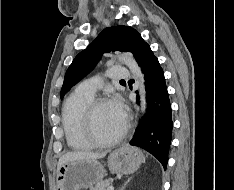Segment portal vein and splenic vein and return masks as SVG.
I'll list each match as a JSON object with an SVG mask.
<instances>
[{"label":"portal vein and splenic vein","mask_w":234,"mask_h":190,"mask_svg":"<svg viewBox=\"0 0 234 190\" xmlns=\"http://www.w3.org/2000/svg\"><path fill=\"white\" fill-rule=\"evenodd\" d=\"M107 190H114V187H113V186H109V187L107 188Z\"/></svg>","instance_id":"1"}]
</instances>
